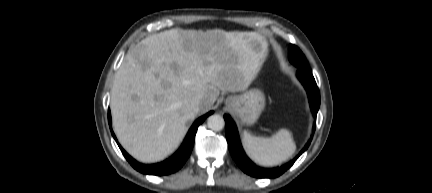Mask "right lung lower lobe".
Here are the masks:
<instances>
[{
    "instance_id": "1",
    "label": "right lung lower lobe",
    "mask_w": 432,
    "mask_h": 193,
    "mask_svg": "<svg viewBox=\"0 0 432 193\" xmlns=\"http://www.w3.org/2000/svg\"><path fill=\"white\" fill-rule=\"evenodd\" d=\"M210 114H212V111L207 113L206 115L200 117L199 119H197L193 123V125L190 128V130L188 131L186 138L183 141L181 147L178 149V151L172 157H170L169 159H167L161 163L151 164V165H145V164L138 163L131 156H129L124 151V149L120 146V144L118 143V141L114 135V132L112 131L110 110L108 111V121H109V126L111 129L112 136L114 137L120 150L122 151L124 157L128 160V162L139 172H142L144 174L161 176V175L174 173L175 171H177L178 169H180L183 166V164L186 162V160L188 159V157L192 151L194 140H195V134L197 132L198 126Z\"/></svg>"
}]
</instances>
